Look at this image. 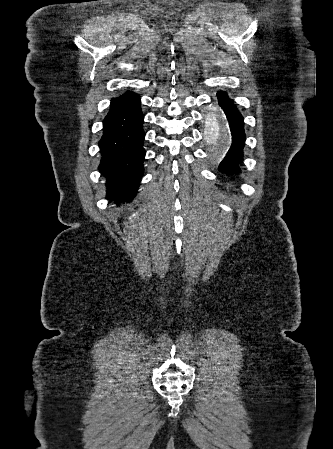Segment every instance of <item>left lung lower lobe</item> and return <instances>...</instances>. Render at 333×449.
Segmentation results:
<instances>
[{"label":"left lung lower lobe","mask_w":333,"mask_h":449,"mask_svg":"<svg viewBox=\"0 0 333 449\" xmlns=\"http://www.w3.org/2000/svg\"><path fill=\"white\" fill-rule=\"evenodd\" d=\"M219 105L224 110V113L229 122V127L232 135V144L224 157V160L219 165V170L226 173H237L238 164L243 157V146L245 142L243 117L237 110L233 101L229 99L225 92H218Z\"/></svg>","instance_id":"0a47b994"}]
</instances>
